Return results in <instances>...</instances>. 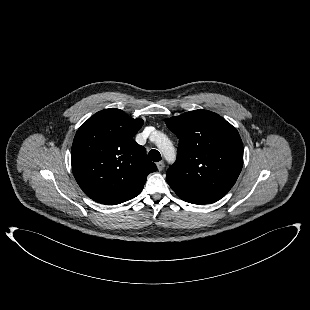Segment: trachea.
I'll return each instance as SVG.
<instances>
[{
    "label": "trachea",
    "mask_w": 310,
    "mask_h": 310,
    "mask_svg": "<svg viewBox=\"0 0 310 310\" xmlns=\"http://www.w3.org/2000/svg\"><path fill=\"white\" fill-rule=\"evenodd\" d=\"M148 158L151 161L158 162L161 160V154L159 151L153 149L148 153Z\"/></svg>",
    "instance_id": "1"
}]
</instances>
